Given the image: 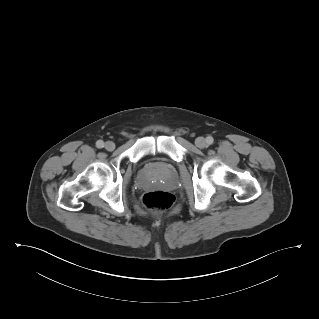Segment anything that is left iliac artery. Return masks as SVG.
<instances>
[{
    "mask_svg": "<svg viewBox=\"0 0 319 319\" xmlns=\"http://www.w3.org/2000/svg\"><path fill=\"white\" fill-rule=\"evenodd\" d=\"M213 141H214V139H213V137H211V136H208V137L206 138V142H207L209 145H211V144L213 143Z\"/></svg>",
    "mask_w": 319,
    "mask_h": 319,
    "instance_id": "1",
    "label": "left iliac artery"
}]
</instances>
